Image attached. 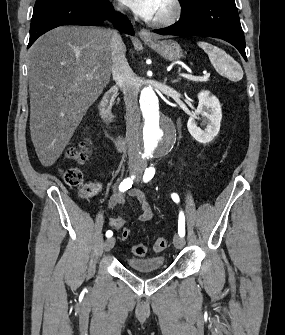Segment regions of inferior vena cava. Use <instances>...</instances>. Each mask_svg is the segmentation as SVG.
Instances as JSON below:
<instances>
[{
	"label": "inferior vena cava",
	"instance_id": "602c4592",
	"mask_svg": "<svg viewBox=\"0 0 285 335\" xmlns=\"http://www.w3.org/2000/svg\"><path fill=\"white\" fill-rule=\"evenodd\" d=\"M117 10H123V6H119ZM112 32V72L117 74L118 82L122 88L123 98L126 106V138L128 144L129 158L132 160H140L139 148H138V132L140 126V112L137 102V92L134 82V74L128 66V62L125 58L126 48L122 42L121 36L115 32Z\"/></svg>",
	"mask_w": 285,
	"mask_h": 335
}]
</instances>
